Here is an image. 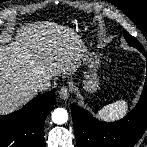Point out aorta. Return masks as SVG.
I'll use <instances>...</instances> for the list:
<instances>
[{
  "instance_id": "aorta-1",
  "label": "aorta",
  "mask_w": 147,
  "mask_h": 147,
  "mask_svg": "<svg viewBox=\"0 0 147 147\" xmlns=\"http://www.w3.org/2000/svg\"><path fill=\"white\" fill-rule=\"evenodd\" d=\"M52 120L55 124L61 125L67 122L68 112L64 108H57L52 113Z\"/></svg>"
}]
</instances>
